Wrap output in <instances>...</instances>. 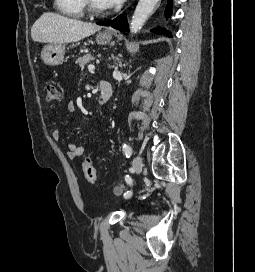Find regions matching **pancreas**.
<instances>
[{
  "label": "pancreas",
  "instance_id": "pancreas-1",
  "mask_svg": "<svg viewBox=\"0 0 255 272\" xmlns=\"http://www.w3.org/2000/svg\"><path fill=\"white\" fill-rule=\"evenodd\" d=\"M95 58L91 55V54H86L82 57H79L76 60V64H78L82 69L84 68V65L90 63L91 61H93Z\"/></svg>",
  "mask_w": 255,
  "mask_h": 272
}]
</instances>
